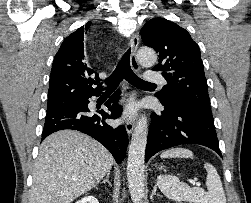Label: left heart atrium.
<instances>
[{"label":"left heart atrium","instance_id":"1","mask_svg":"<svg viewBox=\"0 0 251 203\" xmlns=\"http://www.w3.org/2000/svg\"><path fill=\"white\" fill-rule=\"evenodd\" d=\"M135 110H136V105L134 103H129L126 107V116L127 117H131L134 113H135Z\"/></svg>","mask_w":251,"mask_h":203}]
</instances>
